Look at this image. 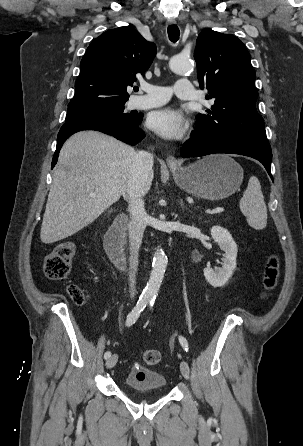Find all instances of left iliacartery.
Returning <instances> with one entry per match:
<instances>
[{"instance_id": "44dca946", "label": "left iliac artery", "mask_w": 303, "mask_h": 446, "mask_svg": "<svg viewBox=\"0 0 303 446\" xmlns=\"http://www.w3.org/2000/svg\"><path fill=\"white\" fill-rule=\"evenodd\" d=\"M149 304H150V307H152L154 305V301L151 300L149 302ZM179 342H180L181 346L183 347V349L187 352L189 349L187 340L183 336H179Z\"/></svg>"}]
</instances>
